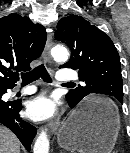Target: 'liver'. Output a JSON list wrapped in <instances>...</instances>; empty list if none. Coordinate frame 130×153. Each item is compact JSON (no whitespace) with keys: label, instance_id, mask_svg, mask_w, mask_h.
<instances>
[{"label":"liver","instance_id":"6515ba94","mask_svg":"<svg viewBox=\"0 0 130 153\" xmlns=\"http://www.w3.org/2000/svg\"><path fill=\"white\" fill-rule=\"evenodd\" d=\"M0 153H20V141L2 125H0Z\"/></svg>","mask_w":130,"mask_h":153}]
</instances>
